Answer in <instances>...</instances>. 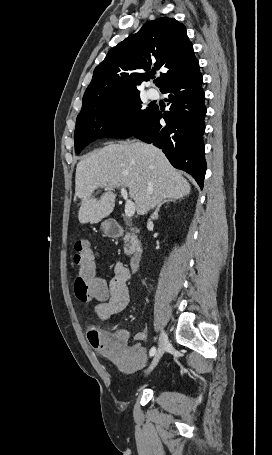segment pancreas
<instances>
[{"mask_svg": "<svg viewBox=\"0 0 272 455\" xmlns=\"http://www.w3.org/2000/svg\"><path fill=\"white\" fill-rule=\"evenodd\" d=\"M124 242H125L124 252L127 255L133 254L137 248H140V242L134 240L130 234L125 235Z\"/></svg>", "mask_w": 272, "mask_h": 455, "instance_id": "cf45deb5", "label": "pancreas"}]
</instances>
